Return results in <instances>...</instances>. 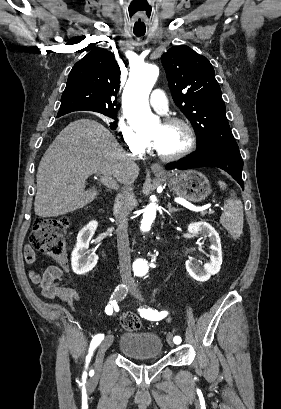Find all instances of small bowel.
Here are the masks:
<instances>
[{"mask_svg": "<svg viewBox=\"0 0 281 409\" xmlns=\"http://www.w3.org/2000/svg\"><path fill=\"white\" fill-rule=\"evenodd\" d=\"M32 250L33 245L31 243H26L24 245L26 265L28 267H33L35 265V254ZM64 273V268L57 265L48 266L42 274H39L32 269L29 270L31 280L39 285L42 295L45 298L59 299L74 307L81 300V295L76 289L59 283L63 278Z\"/></svg>", "mask_w": 281, "mask_h": 409, "instance_id": "1", "label": "small bowel"}]
</instances>
